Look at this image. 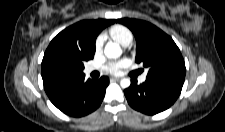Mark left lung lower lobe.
Segmentation results:
<instances>
[{"mask_svg":"<svg viewBox=\"0 0 225 132\" xmlns=\"http://www.w3.org/2000/svg\"><path fill=\"white\" fill-rule=\"evenodd\" d=\"M183 81L147 78L137 85L131 79V85L124 90L129 105L144 114L154 115L169 108L179 97Z\"/></svg>","mask_w":225,"mask_h":132,"instance_id":"0a47b994","label":"left lung lower lobe"}]
</instances>
